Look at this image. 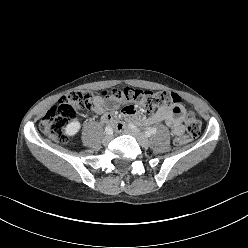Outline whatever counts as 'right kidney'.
I'll list each match as a JSON object with an SVG mask.
<instances>
[{"label":"right kidney","instance_id":"1","mask_svg":"<svg viewBox=\"0 0 248 248\" xmlns=\"http://www.w3.org/2000/svg\"><path fill=\"white\" fill-rule=\"evenodd\" d=\"M81 124L78 120H74L69 123L65 128V134L67 136H75L80 130Z\"/></svg>","mask_w":248,"mask_h":248}]
</instances>
